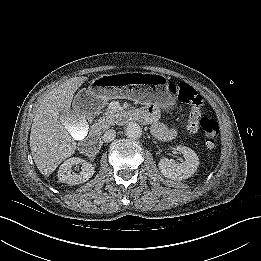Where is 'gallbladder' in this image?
<instances>
[{
	"mask_svg": "<svg viewBox=\"0 0 261 261\" xmlns=\"http://www.w3.org/2000/svg\"><path fill=\"white\" fill-rule=\"evenodd\" d=\"M61 123L76 140L84 139L90 129L89 124L73 111L64 112L61 116Z\"/></svg>",
	"mask_w": 261,
	"mask_h": 261,
	"instance_id": "1",
	"label": "gallbladder"
}]
</instances>
